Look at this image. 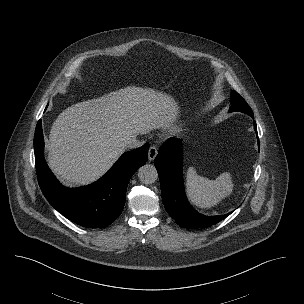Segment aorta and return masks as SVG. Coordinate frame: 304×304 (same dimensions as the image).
Returning a JSON list of instances; mask_svg holds the SVG:
<instances>
[{
	"label": "aorta",
	"instance_id": "1",
	"mask_svg": "<svg viewBox=\"0 0 304 304\" xmlns=\"http://www.w3.org/2000/svg\"><path fill=\"white\" fill-rule=\"evenodd\" d=\"M138 178L143 184H152L158 178V173L155 166L145 164L138 170Z\"/></svg>",
	"mask_w": 304,
	"mask_h": 304
}]
</instances>
